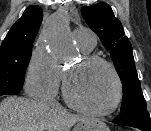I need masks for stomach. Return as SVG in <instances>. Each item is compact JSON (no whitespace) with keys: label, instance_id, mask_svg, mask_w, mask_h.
I'll return each mask as SVG.
<instances>
[{"label":"stomach","instance_id":"0dacf381","mask_svg":"<svg viewBox=\"0 0 151 131\" xmlns=\"http://www.w3.org/2000/svg\"><path fill=\"white\" fill-rule=\"evenodd\" d=\"M74 131H109L108 126L97 119H89L86 122L78 124Z\"/></svg>","mask_w":151,"mask_h":131}]
</instances>
